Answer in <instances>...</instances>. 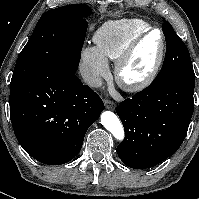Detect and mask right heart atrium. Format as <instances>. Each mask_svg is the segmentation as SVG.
<instances>
[{
  "label": "right heart atrium",
  "mask_w": 199,
  "mask_h": 199,
  "mask_svg": "<svg viewBox=\"0 0 199 199\" xmlns=\"http://www.w3.org/2000/svg\"><path fill=\"white\" fill-rule=\"evenodd\" d=\"M81 58V71L86 82L91 87H98L109 74L107 60L92 46L83 48Z\"/></svg>",
  "instance_id": "1"
}]
</instances>
